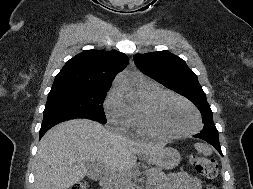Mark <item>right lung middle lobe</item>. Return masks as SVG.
<instances>
[{
    "instance_id": "right-lung-middle-lobe-1",
    "label": "right lung middle lobe",
    "mask_w": 253,
    "mask_h": 189,
    "mask_svg": "<svg viewBox=\"0 0 253 189\" xmlns=\"http://www.w3.org/2000/svg\"><path fill=\"white\" fill-rule=\"evenodd\" d=\"M110 87H59L48 94L44 118L72 116L106 123L103 102Z\"/></svg>"
}]
</instances>
